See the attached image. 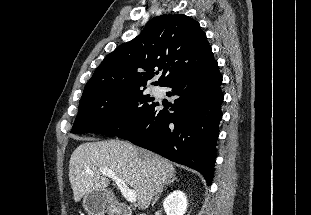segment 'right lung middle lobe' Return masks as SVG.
Here are the masks:
<instances>
[{
  "label": "right lung middle lobe",
  "instance_id": "right-lung-middle-lobe-1",
  "mask_svg": "<svg viewBox=\"0 0 311 215\" xmlns=\"http://www.w3.org/2000/svg\"><path fill=\"white\" fill-rule=\"evenodd\" d=\"M144 89L106 93L80 101L71 132L118 136L132 129L158 105Z\"/></svg>",
  "mask_w": 311,
  "mask_h": 215
}]
</instances>
